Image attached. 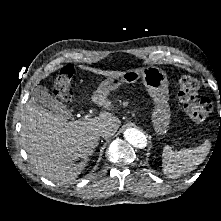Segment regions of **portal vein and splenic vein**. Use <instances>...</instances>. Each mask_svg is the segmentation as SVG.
<instances>
[{"label":"portal vein and splenic vein","mask_w":221,"mask_h":221,"mask_svg":"<svg viewBox=\"0 0 221 221\" xmlns=\"http://www.w3.org/2000/svg\"><path fill=\"white\" fill-rule=\"evenodd\" d=\"M90 117H91V115L88 114V115H86V116L84 117V119H85V120H89Z\"/></svg>","instance_id":"18ae733b"}]
</instances>
